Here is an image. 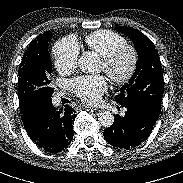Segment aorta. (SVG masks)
<instances>
[{
    "instance_id": "obj_1",
    "label": "aorta",
    "mask_w": 183,
    "mask_h": 183,
    "mask_svg": "<svg viewBox=\"0 0 183 183\" xmlns=\"http://www.w3.org/2000/svg\"><path fill=\"white\" fill-rule=\"evenodd\" d=\"M78 67L84 73L99 71L98 56L94 52L83 53L78 60ZM99 123L104 127H110L114 122V115L110 111H102L98 116Z\"/></svg>"
}]
</instances>
